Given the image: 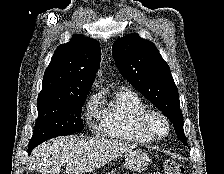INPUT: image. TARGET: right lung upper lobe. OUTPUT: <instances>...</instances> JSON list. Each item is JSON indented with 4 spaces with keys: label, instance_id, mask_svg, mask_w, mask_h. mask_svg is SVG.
I'll use <instances>...</instances> for the list:
<instances>
[{
    "label": "right lung upper lobe",
    "instance_id": "1",
    "mask_svg": "<svg viewBox=\"0 0 224 174\" xmlns=\"http://www.w3.org/2000/svg\"><path fill=\"white\" fill-rule=\"evenodd\" d=\"M101 59V48L93 39L74 35L60 45L45 70L38 99H67L87 95Z\"/></svg>",
    "mask_w": 224,
    "mask_h": 174
}]
</instances>
